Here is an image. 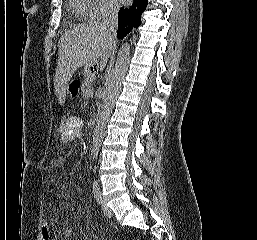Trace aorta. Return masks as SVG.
Returning <instances> with one entry per match:
<instances>
[{"label": "aorta", "mask_w": 257, "mask_h": 240, "mask_svg": "<svg viewBox=\"0 0 257 240\" xmlns=\"http://www.w3.org/2000/svg\"><path fill=\"white\" fill-rule=\"evenodd\" d=\"M129 59H130V44L128 42H125L122 44L119 50L117 62L115 64V67L112 70L110 79L108 81L106 99L104 102L103 111L95 127V131L93 135V148L91 151L92 161L94 163H96L98 159L99 148L103 141L106 123L110 117V114L112 113L116 100L121 91L122 83L124 81V78L128 69ZM96 168H97L96 165L93 166L94 172Z\"/></svg>", "instance_id": "762f6f07"}]
</instances>
